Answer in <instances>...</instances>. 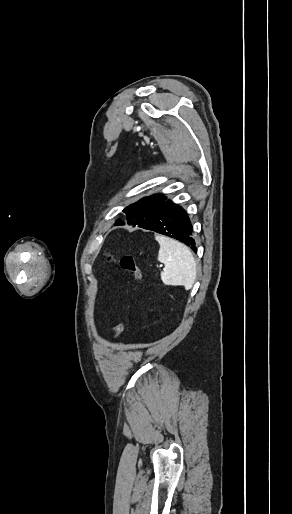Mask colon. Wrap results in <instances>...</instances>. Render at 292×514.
<instances>
[{
	"mask_svg": "<svg viewBox=\"0 0 292 514\" xmlns=\"http://www.w3.org/2000/svg\"><path fill=\"white\" fill-rule=\"evenodd\" d=\"M105 254L110 262H115L118 260L120 267L125 272L131 274L136 278L141 276L140 268L136 264L134 256L132 254H122L119 257H117L116 253L110 248H107L105 250ZM126 325L127 324L125 321H121L120 323L112 326L110 328L111 337L114 338L121 335L125 331Z\"/></svg>",
	"mask_w": 292,
	"mask_h": 514,
	"instance_id": "5ec220e1",
	"label": "colon"
}]
</instances>
